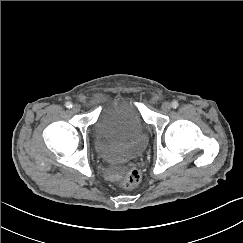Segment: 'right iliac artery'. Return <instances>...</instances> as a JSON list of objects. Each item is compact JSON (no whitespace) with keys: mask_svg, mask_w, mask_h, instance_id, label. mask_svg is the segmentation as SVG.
<instances>
[{"mask_svg":"<svg viewBox=\"0 0 243 243\" xmlns=\"http://www.w3.org/2000/svg\"><path fill=\"white\" fill-rule=\"evenodd\" d=\"M65 106H66L67 108H72V103H71V102H66V103H65Z\"/></svg>","mask_w":243,"mask_h":243,"instance_id":"right-iliac-artery-1","label":"right iliac artery"}]
</instances>
